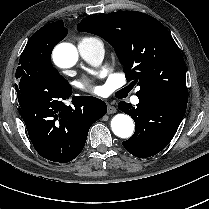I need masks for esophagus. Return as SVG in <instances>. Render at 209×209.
I'll return each instance as SVG.
<instances>
[{"label":"esophagus","instance_id":"esophagus-1","mask_svg":"<svg viewBox=\"0 0 209 209\" xmlns=\"http://www.w3.org/2000/svg\"><path fill=\"white\" fill-rule=\"evenodd\" d=\"M117 111L116 107L111 105V104H108V109H107V113L108 114H113Z\"/></svg>","mask_w":209,"mask_h":209}]
</instances>
